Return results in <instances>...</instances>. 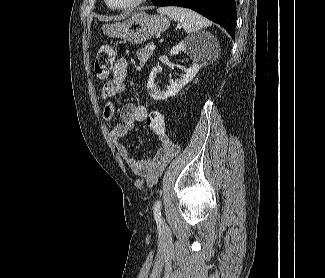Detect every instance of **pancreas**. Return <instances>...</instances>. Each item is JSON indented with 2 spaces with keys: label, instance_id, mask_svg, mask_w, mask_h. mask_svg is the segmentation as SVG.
<instances>
[{
  "label": "pancreas",
  "instance_id": "1",
  "mask_svg": "<svg viewBox=\"0 0 325 278\" xmlns=\"http://www.w3.org/2000/svg\"><path fill=\"white\" fill-rule=\"evenodd\" d=\"M152 54L153 50H150L149 46H145L144 48H141L139 51H137V57L139 59L140 65H144Z\"/></svg>",
  "mask_w": 325,
  "mask_h": 278
}]
</instances>
